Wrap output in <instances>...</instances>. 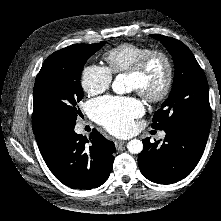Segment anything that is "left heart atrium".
<instances>
[{
	"mask_svg": "<svg viewBox=\"0 0 221 221\" xmlns=\"http://www.w3.org/2000/svg\"><path fill=\"white\" fill-rule=\"evenodd\" d=\"M144 112L141 101L131 97H105L93 102V117L111 133L127 136L135 129V119Z\"/></svg>",
	"mask_w": 221,
	"mask_h": 221,
	"instance_id": "39dd6f15",
	"label": "left heart atrium"
}]
</instances>
